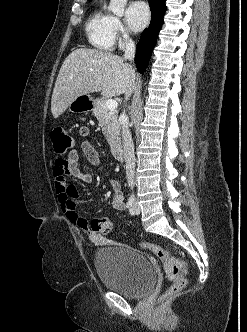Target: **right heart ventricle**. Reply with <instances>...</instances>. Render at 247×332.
<instances>
[{
  "instance_id": "e07e8e85",
  "label": "right heart ventricle",
  "mask_w": 247,
  "mask_h": 332,
  "mask_svg": "<svg viewBox=\"0 0 247 332\" xmlns=\"http://www.w3.org/2000/svg\"><path fill=\"white\" fill-rule=\"evenodd\" d=\"M114 17L97 7L86 22V34L89 43L102 51L112 50L115 43Z\"/></svg>"
}]
</instances>
